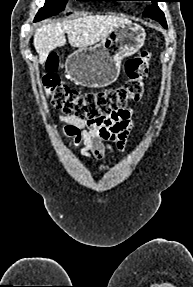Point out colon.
Wrapping results in <instances>:
<instances>
[{
    "instance_id": "5ec220e1",
    "label": "colon",
    "mask_w": 193,
    "mask_h": 287,
    "mask_svg": "<svg viewBox=\"0 0 193 287\" xmlns=\"http://www.w3.org/2000/svg\"><path fill=\"white\" fill-rule=\"evenodd\" d=\"M151 58L152 53L144 51L128 59L125 63L128 80L121 87L80 93L61 82L56 73L59 60L56 55L52 54L46 62L42 77V90L51 98L55 107L63 112L73 113L86 121L100 120L101 122L117 109L141 98Z\"/></svg>"
}]
</instances>
